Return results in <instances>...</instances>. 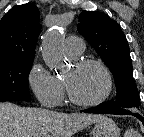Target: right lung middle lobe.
<instances>
[{"instance_id": "right-lung-middle-lobe-1", "label": "right lung middle lobe", "mask_w": 144, "mask_h": 137, "mask_svg": "<svg viewBox=\"0 0 144 137\" xmlns=\"http://www.w3.org/2000/svg\"><path fill=\"white\" fill-rule=\"evenodd\" d=\"M34 58L0 62V101L31 100L28 76Z\"/></svg>"}]
</instances>
